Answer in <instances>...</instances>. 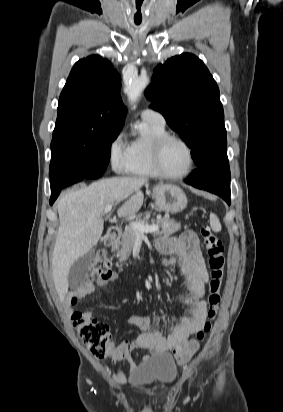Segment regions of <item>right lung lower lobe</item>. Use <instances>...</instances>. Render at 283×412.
<instances>
[{
	"mask_svg": "<svg viewBox=\"0 0 283 412\" xmlns=\"http://www.w3.org/2000/svg\"><path fill=\"white\" fill-rule=\"evenodd\" d=\"M105 169H106V166L98 165L95 167H90L81 172L57 174L54 177L50 178V184H51L50 204H53V202L58 197L61 189H63L64 187L77 183L83 179L100 177L104 173Z\"/></svg>",
	"mask_w": 283,
	"mask_h": 412,
	"instance_id": "98d812e1",
	"label": "right lung lower lobe"
}]
</instances>
